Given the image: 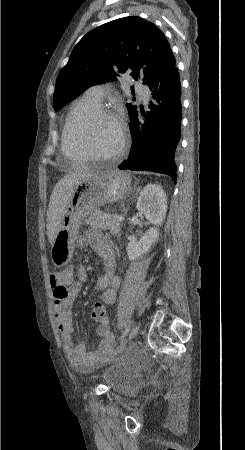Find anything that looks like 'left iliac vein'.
Listing matches in <instances>:
<instances>
[{
	"label": "left iliac vein",
	"instance_id": "4c4485c4",
	"mask_svg": "<svg viewBox=\"0 0 245 450\" xmlns=\"http://www.w3.org/2000/svg\"><path fill=\"white\" fill-rule=\"evenodd\" d=\"M139 332V325H136L132 328L129 337H128V341H131Z\"/></svg>",
	"mask_w": 245,
	"mask_h": 450
}]
</instances>
